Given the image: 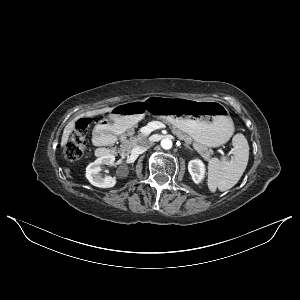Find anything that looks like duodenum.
I'll return each instance as SVG.
<instances>
[{
  "instance_id": "obj_1",
  "label": "duodenum",
  "mask_w": 300,
  "mask_h": 300,
  "mask_svg": "<svg viewBox=\"0 0 300 300\" xmlns=\"http://www.w3.org/2000/svg\"><path fill=\"white\" fill-rule=\"evenodd\" d=\"M93 142L97 146L98 155L107 157L117 153L112 135L105 129H98L93 134Z\"/></svg>"
}]
</instances>
